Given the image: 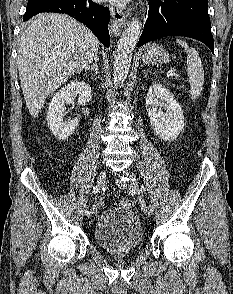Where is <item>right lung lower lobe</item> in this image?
Here are the masks:
<instances>
[{
	"label": "right lung lower lobe",
	"instance_id": "98d812e1",
	"mask_svg": "<svg viewBox=\"0 0 233 294\" xmlns=\"http://www.w3.org/2000/svg\"><path fill=\"white\" fill-rule=\"evenodd\" d=\"M42 12L68 14L85 24L106 47L110 45L108 23L110 12L107 7L93 3L91 0H31L23 21Z\"/></svg>",
	"mask_w": 233,
	"mask_h": 294
}]
</instances>
